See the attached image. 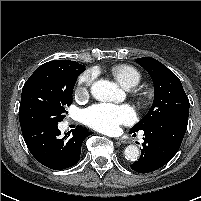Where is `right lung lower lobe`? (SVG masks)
<instances>
[{"mask_svg": "<svg viewBox=\"0 0 201 201\" xmlns=\"http://www.w3.org/2000/svg\"><path fill=\"white\" fill-rule=\"evenodd\" d=\"M58 121L36 120L21 126L25 143L35 157L44 166L62 170L75 165L81 154L83 140L91 134L77 126L72 134H61Z\"/></svg>", "mask_w": 201, "mask_h": 201, "instance_id": "obj_1", "label": "right lung lower lobe"}]
</instances>
